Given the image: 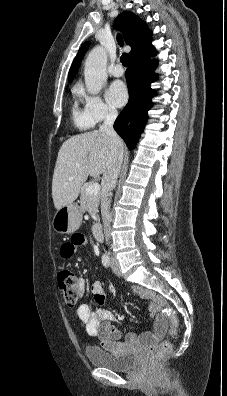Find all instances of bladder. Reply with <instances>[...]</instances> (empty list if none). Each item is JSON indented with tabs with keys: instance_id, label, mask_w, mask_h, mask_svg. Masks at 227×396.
Wrapping results in <instances>:
<instances>
[{
	"instance_id": "31cf9c89",
	"label": "bladder",
	"mask_w": 227,
	"mask_h": 396,
	"mask_svg": "<svg viewBox=\"0 0 227 396\" xmlns=\"http://www.w3.org/2000/svg\"><path fill=\"white\" fill-rule=\"evenodd\" d=\"M85 354L91 365L117 372L131 370L138 361V357L134 354L114 353L98 346H88Z\"/></svg>"
}]
</instances>
